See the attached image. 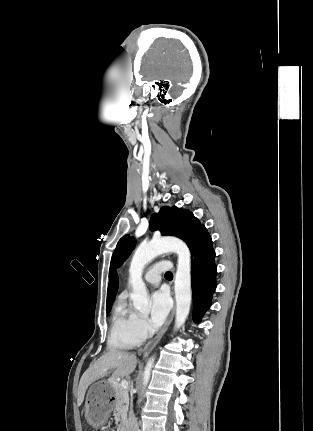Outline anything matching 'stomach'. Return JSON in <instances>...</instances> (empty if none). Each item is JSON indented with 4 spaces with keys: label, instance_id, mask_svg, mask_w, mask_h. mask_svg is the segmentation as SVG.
<instances>
[{
    "label": "stomach",
    "instance_id": "1",
    "mask_svg": "<svg viewBox=\"0 0 313 431\" xmlns=\"http://www.w3.org/2000/svg\"><path fill=\"white\" fill-rule=\"evenodd\" d=\"M114 380H101L91 384L85 401V417L88 423L97 428L107 423L115 406Z\"/></svg>",
    "mask_w": 313,
    "mask_h": 431
}]
</instances>
